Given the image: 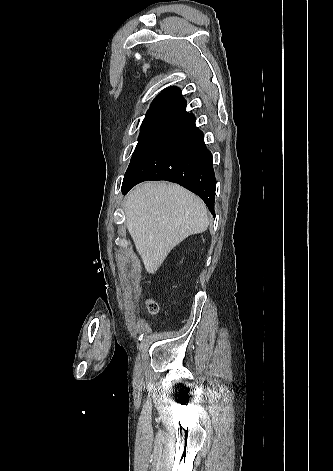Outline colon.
<instances>
[{"label": "colon", "instance_id": "1", "mask_svg": "<svg viewBox=\"0 0 333 471\" xmlns=\"http://www.w3.org/2000/svg\"><path fill=\"white\" fill-rule=\"evenodd\" d=\"M146 307H147L148 312L152 315H154L158 312V306L153 301H147Z\"/></svg>", "mask_w": 333, "mask_h": 471}]
</instances>
